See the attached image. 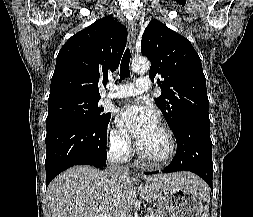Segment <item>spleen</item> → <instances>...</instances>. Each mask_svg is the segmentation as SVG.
Instances as JSON below:
<instances>
[{"label": "spleen", "instance_id": "obj_1", "mask_svg": "<svg viewBox=\"0 0 253 217\" xmlns=\"http://www.w3.org/2000/svg\"><path fill=\"white\" fill-rule=\"evenodd\" d=\"M203 197H204V201L205 202H208V200H209V197H208V194L205 192V193H203ZM204 210H205V213L203 214V216L202 217H209V215H208V210H209V206L208 205H206L205 207H204Z\"/></svg>", "mask_w": 253, "mask_h": 217}]
</instances>
